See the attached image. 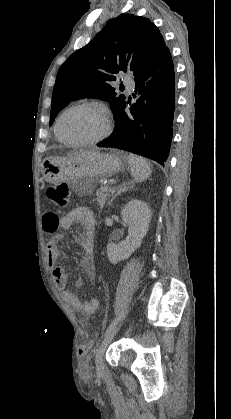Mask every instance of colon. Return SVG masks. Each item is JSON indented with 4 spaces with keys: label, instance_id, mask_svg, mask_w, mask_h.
<instances>
[{
    "label": "colon",
    "instance_id": "obj_1",
    "mask_svg": "<svg viewBox=\"0 0 231 419\" xmlns=\"http://www.w3.org/2000/svg\"><path fill=\"white\" fill-rule=\"evenodd\" d=\"M47 197L57 207H65L69 202L70 190L66 183H59L50 185L46 190ZM87 347V344L83 345V348Z\"/></svg>",
    "mask_w": 231,
    "mask_h": 419
}]
</instances>
